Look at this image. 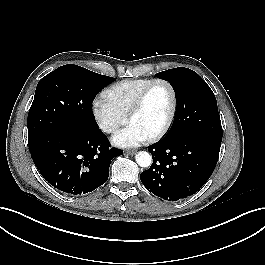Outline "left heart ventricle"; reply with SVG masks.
<instances>
[{
  "label": "left heart ventricle",
  "instance_id": "1",
  "mask_svg": "<svg viewBox=\"0 0 265 265\" xmlns=\"http://www.w3.org/2000/svg\"><path fill=\"white\" fill-rule=\"evenodd\" d=\"M171 107V96L163 84L155 85L148 93L141 110L130 120L131 124L152 136L165 124Z\"/></svg>",
  "mask_w": 265,
  "mask_h": 265
}]
</instances>
